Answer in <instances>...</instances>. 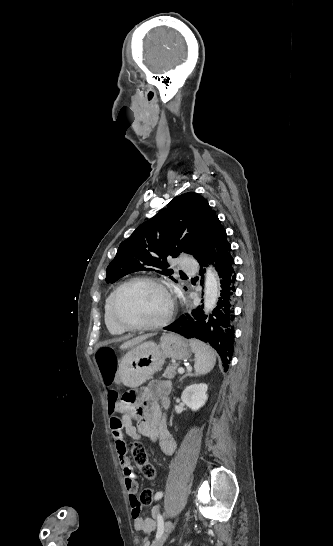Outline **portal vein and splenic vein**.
<instances>
[{
  "label": "portal vein and splenic vein",
  "mask_w": 333,
  "mask_h": 546,
  "mask_svg": "<svg viewBox=\"0 0 333 546\" xmlns=\"http://www.w3.org/2000/svg\"><path fill=\"white\" fill-rule=\"evenodd\" d=\"M185 372L184 368H178V373L183 374Z\"/></svg>",
  "instance_id": "1"
}]
</instances>
